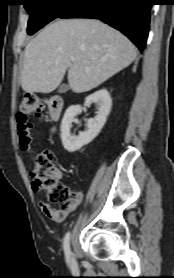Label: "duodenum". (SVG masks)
<instances>
[{
	"label": "duodenum",
	"instance_id": "obj_1",
	"mask_svg": "<svg viewBox=\"0 0 174 278\" xmlns=\"http://www.w3.org/2000/svg\"><path fill=\"white\" fill-rule=\"evenodd\" d=\"M49 114L53 121H58L64 106V101L60 96H52L49 99Z\"/></svg>",
	"mask_w": 174,
	"mask_h": 278
}]
</instances>
